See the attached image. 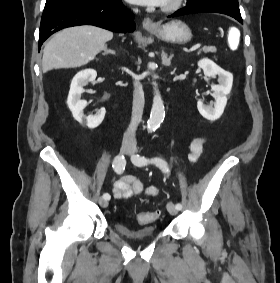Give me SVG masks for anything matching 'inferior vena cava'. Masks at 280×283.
<instances>
[{
  "label": "inferior vena cava",
  "instance_id": "1",
  "mask_svg": "<svg viewBox=\"0 0 280 283\" xmlns=\"http://www.w3.org/2000/svg\"><path fill=\"white\" fill-rule=\"evenodd\" d=\"M137 12L138 10H134ZM144 92L139 80L134 81V93H133V107H132V117L131 122L126 130L123 137L124 145L136 146L135 132L142 119L143 108H144Z\"/></svg>",
  "mask_w": 280,
  "mask_h": 283
}]
</instances>
